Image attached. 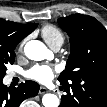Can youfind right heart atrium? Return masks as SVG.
Returning <instances> with one entry per match:
<instances>
[{
    "label": "right heart atrium",
    "instance_id": "d8ad5b80",
    "mask_svg": "<svg viewBox=\"0 0 107 107\" xmlns=\"http://www.w3.org/2000/svg\"><path fill=\"white\" fill-rule=\"evenodd\" d=\"M24 42H25V41H23V42L20 44V46H19V50L22 49V47H23V45H24Z\"/></svg>",
    "mask_w": 107,
    "mask_h": 107
}]
</instances>
